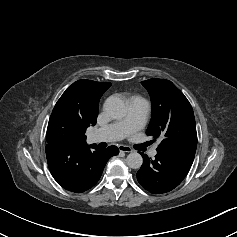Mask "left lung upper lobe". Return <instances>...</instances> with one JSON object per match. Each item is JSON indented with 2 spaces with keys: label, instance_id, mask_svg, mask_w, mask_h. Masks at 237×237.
<instances>
[{
  "label": "left lung upper lobe",
  "instance_id": "1",
  "mask_svg": "<svg viewBox=\"0 0 237 237\" xmlns=\"http://www.w3.org/2000/svg\"><path fill=\"white\" fill-rule=\"evenodd\" d=\"M141 84L152 101V118L147 135L160 138L157 153L194 160L197 133L193 109L184 94L164 79H149Z\"/></svg>",
  "mask_w": 237,
  "mask_h": 237
}]
</instances>
